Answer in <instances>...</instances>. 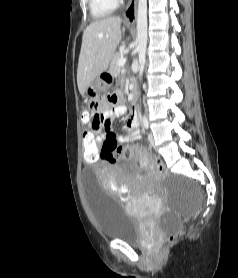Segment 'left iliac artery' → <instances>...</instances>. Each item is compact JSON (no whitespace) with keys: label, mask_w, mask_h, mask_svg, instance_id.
I'll list each match as a JSON object with an SVG mask.
<instances>
[{"label":"left iliac artery","mask_w":238,"mask_h":278,"mask_svg":"<svg viewBox=\"0 0 238 278\" xmlns=\"http://www.w3.org/2000/svg\"><path fill=\"white\" fill-rule=\"evenodd\" d=\"M143 126L144 128L148 129L149 123L146 116H143Z\"/></svg>","instance_id":"left-iliac-artery-1"}]
</instances>
